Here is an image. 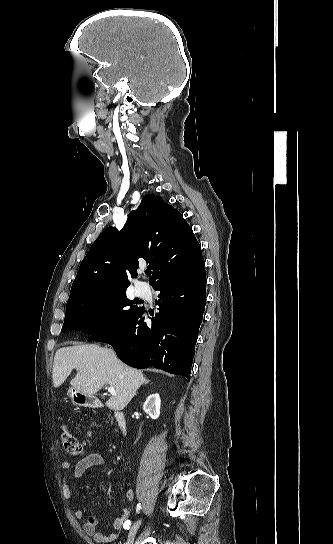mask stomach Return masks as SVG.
<instances>
[{
	"mask_svg": "<svg viewBox=\"0 0 333 544\" xmlns=\"http://www.w3.org/2000/svg\"><path fill=\"white\" fill-rule=\"evenodd\" d=\"M79 394H80V393H79L78 391H76V390L70 389V390L68 391L69 397H71V399H72V400L74 401V403H76V404H81V403L78 402V400H79Z\"/></svg>",
	"mask_w": 333,
	"mask_h": 544,
	"instance_id": "stomach-1",
	"label": "stomach"
}]
</instances>
